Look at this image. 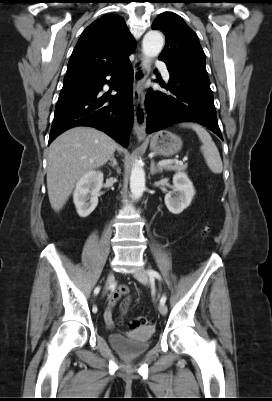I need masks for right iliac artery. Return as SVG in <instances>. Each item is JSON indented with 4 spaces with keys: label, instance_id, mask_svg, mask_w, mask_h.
<instances>
[{
    "label": "right iliac artery",
    "instance_id": "1",
    "mask_svg": "<svg viewBox=\"0 0 272 401\" xmlns=\"http://www.w3.org/2000/svg\"><path fill=\"white\" fill-rule=\"evenodd\" d=\"M99 291H100V287H96L95 290H94V294L97 295L99 293ZM92 310H93L94 313L97 312V307L94 306Z\"/></svg>",
    "mask_w": 272,
    "mask_h": 401
}]
</instances>
